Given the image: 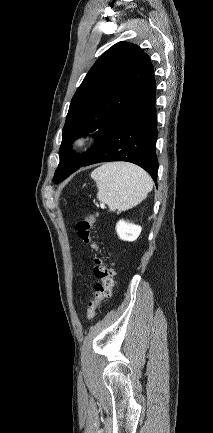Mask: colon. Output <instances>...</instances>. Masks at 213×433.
I'll return each mask as SVG.
<instances>
[{
    "instance_id": "obj_1",
    "label": "colon",
    "mask_w": 213,
    "mask_h": 433,
    "mask_svg": "<svg viewBox=\"0 0 213 433\" xmlns=\"http://www.w3.org/2000/svg\"><path fill=\"white\" fill-rule=\"evenodd\" d=\"M96 212L88 211L85 218L77 221L75 229L81 241L89 244L95 252L94 275L97 279L94 298L89 302L86 317L94 318L100 304L111 296L114 285L115 271L112 262L105 254L104 246L92 234Z\"/></svg>"
}]
</instances>
